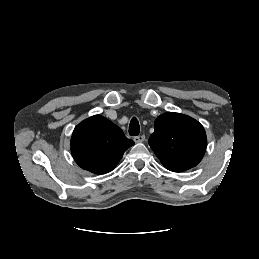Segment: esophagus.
<instances>
[{
	"label": "esophagus",
	"instance_id": "34e87169",
	"mask_svg": "<svg viewBox=\"0 0 259 259\" xmlns=\"http://www.w3.org/2000/svg\"><path fill=\"white\" fill-rule=\"evenodd\" d=\"M134 141H135V143L144 142L145 141V136L144 135L136 136V137H134Z\"/></svg>",
	"mask_w": 259,
	"mask_h": 259
}]
</instances>
